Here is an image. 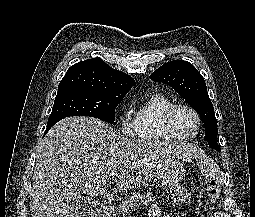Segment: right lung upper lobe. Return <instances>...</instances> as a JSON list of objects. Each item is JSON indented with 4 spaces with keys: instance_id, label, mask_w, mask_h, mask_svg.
<instances>
[{
    "instance_id": "1",
    "label": "right lung upper lobe",
    "mask_w": 255,
    "mask_h": 217,
    "mask_svg": "<svg viewBox=\"0 0 255 217\" xmlns=\"http://www.w3.org/2000/svg\"><path fill=\"white\" fill-rule=\"evenodd\" d=\"M135 85L134 79L126 73L115 70L100 58L88 59L71 66L58 90L84 88L100 92L127 93Z\"/></svg>"
}]
</instances>
